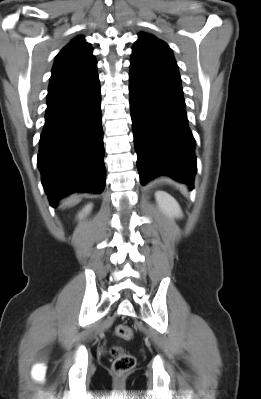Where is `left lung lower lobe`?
<instances>
[{"instance_id": "1", "label": "left lung lower lobe", "mask_w": 261, "mask_h": 399, "mask_svg": "<svg viewBox=\"0 0 261 399\" xmlns=\"http://www.w3.org/2000/svg\"><path fill=\"white\" fill-rule=\"evenodd\" d=\"M130 109L140 182L168 175L193 188L195 140L181 79L130 66Z\"/></svg>"}]
</instances>
